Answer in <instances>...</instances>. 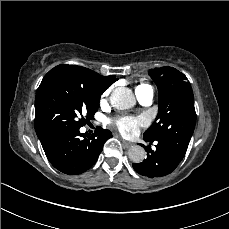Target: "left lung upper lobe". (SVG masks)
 Wrapping results in <instances>:
<instances>
[{
	"instance_id": "left-lung-upper-lobe-1",
	"label": "left lung upper lobe",
	"mask_w": 229,
	"mask_h": 229,
	"mask_svg": "<svg viewBox=\"0 0 229 229\" xmlns=\"http://www.w3.org/2000/svg\"><path fill=\"white\" fill-rule=\"evenodd\" d=\"M149 75L158 87L159 109L144 139L166 142L186 153L194 132V96L186 76L172 67L155 68Z\"/></svg>"
}]
</instances>
